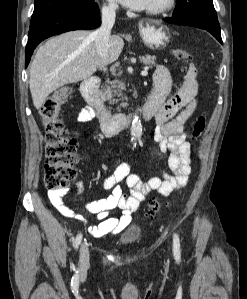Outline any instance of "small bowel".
Listing matches in <instances>:
<instances>
[{
  "instance_id": "c3829d8e",
  "label": "small bowel",
  "mask_w": 247,
  "mask_h": 299,
  "mask_svg": "<svg viewBox=\"0 0 247 299\" xmlns=\"http://www.w3.org/2000/svg\"><path fill=\"white\" fill-rule=\"evenodd\" d=\"M153 80L154 89L148 100L157 109L154 139L162 152L169 153L168 169L161 175H154L143 181L137 173L131 171L128 162L120 163L112 175L101 181V186L110 190L111 194L84 205L86 211L95 214L99 221L88 227L89 233L94 237L123 231L131 222L132 214L140 209L152 191L167 197L188 183L191 172V147L186 140L184 125L197 107L196 77L187 72L182 83L173 90L169 70L159 65L155 69ZM93 116V110L87 107L78 115L77 120L85 122ZM123 186L128 189V193L124 192ZM76 187L81 194L82 183L78 182ZM67 192L68 189L60 192L52 191L49 194L51 203L62 215L87 223L82 215L76 214L63 203L62 197ZM116 209L122 214L119 217L110 216Z\"/></svg>"
}]
</instances>
